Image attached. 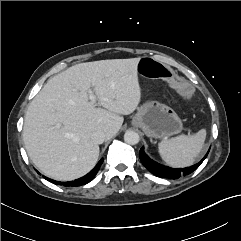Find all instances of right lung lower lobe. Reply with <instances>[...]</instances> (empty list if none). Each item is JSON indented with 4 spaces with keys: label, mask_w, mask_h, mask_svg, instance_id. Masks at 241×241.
Segmentation results:
<instances>
[{
    "label": "right lung lower lobe",
    "mask_w": 241,
    "mask_h": 241,
    "mask_svg": "<svg viewBox=\"0 0 241 241\" xmlns=\"http://www.w3.org/2000/svg\"><path fill=\"white\" fill-rule=\"evenodd\" d=\"M102 162H103V158L98 162V164L94 167V169L91 170L87 175H85L79 179H76L75 181L57 182V181H54L47 177H45V178L54 184H59V185H64V186H81V185L87 184L96 176L97 172L99 171V169L102 165Z\"/></svg>",
    "instance_id": "98d812e1"
}]
</instances>
